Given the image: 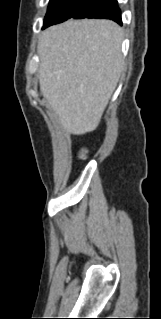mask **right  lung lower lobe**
Returning <instances> with one entry per match:
<instances>
[{"instance_id": "right-lung-lower-lobe-1", "label": "right lung lower lobe", "mask_w": 161, "mask_h": 319, "mask_svg": "<svg viewBox=\"0 0 161 319\" xmlns=\"http://www.w3.org/2000/svg\"><path fill=\"white\" fill-rule=\"evenodd\" d=\"M84 18L111 19L118 24H122L121 10L118 7L117 0H100L98 5Z\"/></svg>"}]
</instances>
